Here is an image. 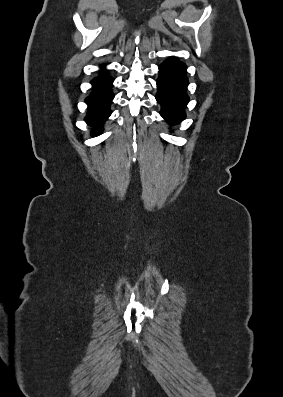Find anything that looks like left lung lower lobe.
Listing matches in <instances>:
<instances>
[{
	"label": "left lung lower lobe",
	"mask_w": 283,
	"mask_h": 397,
	"mask_svg": "<svg viewBox=\"0 0 283 397\" xmlns=\"http://www.w3.org/2000/svg\"><path fill=\"white\" fill-rule=\"evenodd\" d=\"M187 67L178 59L171 57L159 65L156 100L161 105L160 115L170 124L185 119V107L189 102L186 93L188 79Z\"/></svg>",
	"instance_id": "1"
}]
</instances>
